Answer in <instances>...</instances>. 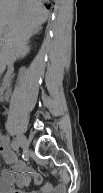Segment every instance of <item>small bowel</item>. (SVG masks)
Returning <instances> with one entry per match:
<instances>
[{"label":"small bowel","mask_w":103,"mask_h":193,"mask_svg":"<svg viewBox=\"0 0 103 193\" xmlns=\"http://www.w3.org/2000/svg\"><path fill=\"white\" fill-rule=\"evenodd\" d=\"M0 153L4 161L11 165L10 168L2 170L0 193H20L14 190L15 186L27 189L26 193H37L35 190H30L29 186L32 180L36 185H40L42 181L41 174L36 169L16 158L15 153L9 148L5 137L0 138ZM41 192L64 193L65 186L62 184L54 186L51 183H47L42 186Z\"/></svg>","instance_id":"1"}]
</instances>
